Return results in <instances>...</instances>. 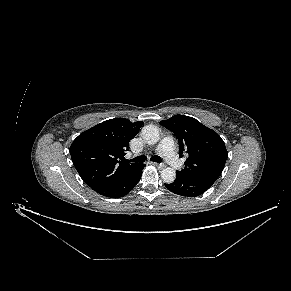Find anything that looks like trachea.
I'll return each mask as SVG.
<instances>
[{"instance_id":"trachea-1","label":"trachea","mask_w":291,"mask_h":291,"mask_svg":"<svg viewBox=\"0 0 291 291\" xmlns=\"http://www.w3.org/2000/svg\"><path fill=\"white\" fill-rule=\"evenodd\" d=\"M146 157L144 155L141 156H137L133 159H131V162H135V163H143L145 161ZM151 161L153 162H157V163H161V158L159 156H152Z\"/></svg>"}]
</instances>
